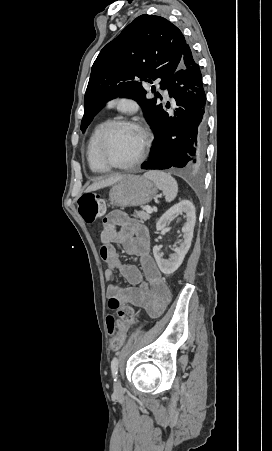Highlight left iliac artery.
I'll use <instances>...</instances> for the list:
<instances>
[{"mask_svg": "<svg viewBox=\"0 0 272 451\" xmlns=\"http://www.w3.org/2000/svg\"><path fill=\"white\" fill-rule=\"evenodd\" d=\"M118 366H119L118 358L114 357L111 362V370H112V375L114 377V381H116V378H117Z\"/></svg>", "mask_w": 272, "mask_h": 451, "instance_id": "left-iliac-artery-1", "label": "left iliac artery"}]
</instances>
